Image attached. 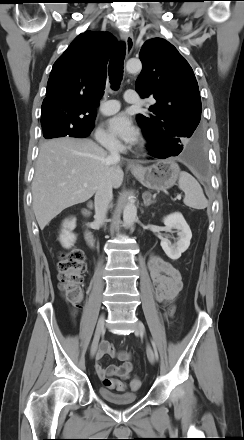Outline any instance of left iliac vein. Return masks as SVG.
I'll use <instances>...</instances> for the list:
<instances>
[{
	"instance_id": "4c4485c4",
	"label": "left iliac vein",
	"mask_w": 244,
	"mask_h": 440,
	"mask_svg": "<svg viewBox=\"0 0 244 440\" xmlns=\"http://www.w3.org/2000/svg\"><path fill=\"white\" fill-rule=\"evenodd\" d=\"M135 333L139 334L141 336L145 335L144 324L139 320L137 321V323L135 325ZM147 356H148L149 361L151 363H154V360H155L154 353L149 345L147 346Z\"/></svg>"
}]
</instances>
